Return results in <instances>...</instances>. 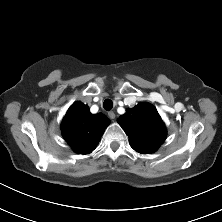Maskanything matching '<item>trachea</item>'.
I'll list each match as a JSON object with an SVG mask.
<instances>
[{
  "mask_svg": "<svg viewBox=\"0 0 222 222\" xmlns=\"http://www.w3.org/2000/svg\"><path fill=\"white\" fill-rule=\"evenodd\" d=\"M103 107L105 110L110 111L113 107V102L110 99H106L103 103Z\"/></svg>",
  "mask_w": 222,
  "mask_h": 222,
  "instance_id": "obj_1",
  "label": "trachea"
}]
</instances>
